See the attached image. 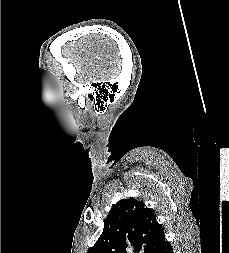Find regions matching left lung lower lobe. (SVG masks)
Listing matches in <instances>:
<instances>
[{"label": "left lung lower lobe", "instance_id": "0a47b994", "mask_svg": "<svg viewBox=\"0 0 229 253\" xmlns=\"http://www.w3.org/2000/svg\"><path fill=\"white\" fill-rule=\"evenodd\" d=\"M153 253H173L171 244L164 237Z\"/></svg>", "mask_w": 229, "mask_h": 253}]
</instances>
